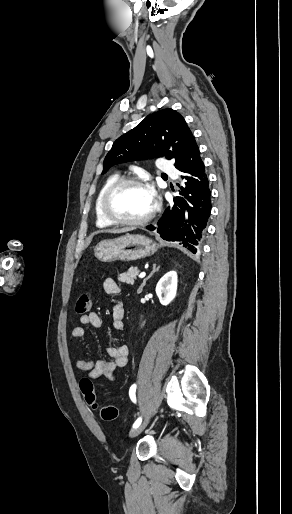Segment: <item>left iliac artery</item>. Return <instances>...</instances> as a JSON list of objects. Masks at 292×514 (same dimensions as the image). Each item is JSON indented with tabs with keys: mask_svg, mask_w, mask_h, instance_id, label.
<instances>
[{
	"mask_svg": "<svg viewBox=\"0 0 292 514\" xmlns=\"http://www.w3.org/2000/svg\"><path fill=\"white\" fill-rule=\"evenodd\" d=\"M136 388H137V385L136 384H133L131 387H130V390H129V396L131 398V400L133 402H136V398H135V392H136ZM142 422V418L139 417L133 424L132 428L133 429H136Z\"/></svg>",
	"mask_w": 292,
	"mask_h": 514,
	"instance_id": "obj_1",
	"label": "left iliac artery"
}]
</instances>
